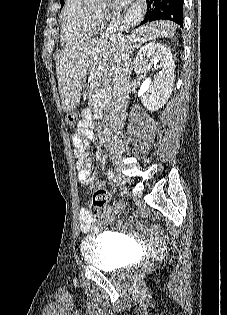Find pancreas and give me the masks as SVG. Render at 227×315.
<instances>
[{
    "label": "pancreas",
    "mask_w": 227,
    "mask_h": 315,
    "mask_svg": "<svg viewBox=\"0 0 227 315\" xmlns=\"http://www.w3.org/2000/svg\"><path fill=\"white\" fill-rule=\"evenodd\" d=\"M91 87L88 91V98H89V104L90 105H97V98H96V93L100 92L103 87H99L101 84V79H99L97 76H93L90 80ZM111 99V91L107 93V97L102 98L100 101V109L106 112L109 108V101Z\"/></svg>",
    "instance_id": "pancreas-1"
}]
</instances>
